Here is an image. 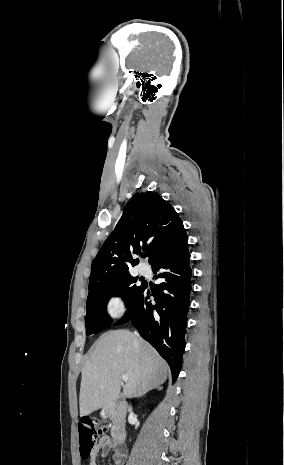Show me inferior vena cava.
I'll list each match as a JSON object with an SVG mask.
<instances>
[{"mask_svg": "<svg viewBox=\"0 0 284 465\" xmlns=\"http://www.w3.org/2000/svg\"><path fill=\"white\" fill-rule=\"evenodd\" d=\"M135 335H137V333H135ZM129 411H131V409H129Z\"/></svg>", "mask_w": 284, "mask_h": 465, "instance_id": "obj_1", "label": "inferior vena cava"}]
</instances>
